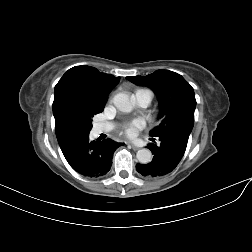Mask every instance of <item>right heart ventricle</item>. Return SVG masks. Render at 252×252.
I'll list each match as a JSON object with an SVG mask.
<instances>
[{
    "label": "right heart ventricle",
    "mask_w": 252,
    "mask_h": 252,
    "mask_svg": "<svg viewBox=\"0 0 252 252\" xmlns=\"http://www.w3.org/2000/svg\"><path fill=\"white\" fill-rule=\"evenodd\" d=\"M139 93H145L149 99V103L151 102L152 98H153V93L152 91H150L149 89H138L135 91L134 93V97L139 94Z\"/></svg>",
    "instance_id": "1"
}]
</instances>
